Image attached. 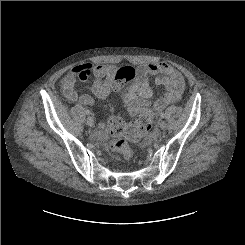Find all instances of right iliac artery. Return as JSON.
<instances>
[{
    "instance_id": "right-iliac-artery-1",
    "label": "right iliac artery",
    "mask_w": 245,
    "mask_h": 245,
    "mask_svg": "<svg viewBox=\"0 0 245 245\" xmlns=\"http://www.w3.org/2000/svg\"><path fill=\"white\" fill-rule=\"evenodd\" d=\"M85 112H86L87 115L90 114V110L89 109H86Z\"/></svg>"
}]
</instances>
